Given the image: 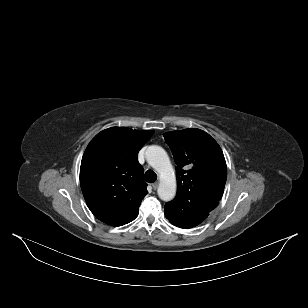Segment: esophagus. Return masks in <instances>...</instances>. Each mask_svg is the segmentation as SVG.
Masks as SVG:
<instances>
[{
  "label": "esophagus",
  "mask_w": 308,
  "mask_h": 308,
  "mask_svg": "<svg viewBox=\"0 0 308 308\" xmlns=\"http://www.w3.org/2000/svg\"><path fill=\"white\" fill-rule=\"evenodd\" d=\"M157 187H158V182H154V183L152 184V188H153L154 190H156Z\"/></svg>",
  "instance_id": "esophagus-1"
}]
</instances>
